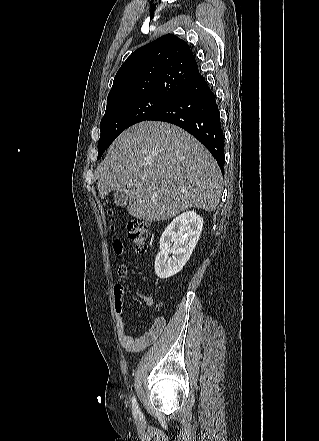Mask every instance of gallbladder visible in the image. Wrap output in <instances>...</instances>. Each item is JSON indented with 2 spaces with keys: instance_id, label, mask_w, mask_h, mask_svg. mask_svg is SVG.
<instances>
[{
  "instance_id": "1",
  "label": "gallbladder",
  "mask_w": 319,
  "mask_h": 441,
  "mask_svg": "<svg viewBox=\"0 0 319 441\" xmlns=\"http://www.w3.org/2000/svg\"><path fill=\"white\" fill-rule=\"evenodd\" d=\"M115 203L118 206H124L128 201V191L125 187L118 189L114 195Z\"/></svg>"
}]
</instances>
